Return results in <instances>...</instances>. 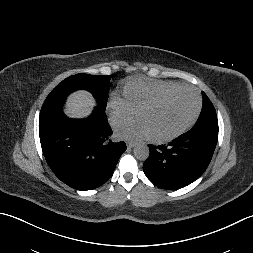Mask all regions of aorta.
<instances>
[{"label": "aorta", "mask_w": 253, "mask_h": 253, "mask_svg": "<svg viewBox=\"0 0 253 253\" xmlns=\"http://www.w3.org/2000/svg\"><path fill=\"white\" fill-rule=\"evenodd\" d=\"M133 152L134 156L141 161H144L149 157V148L145 143L136 144Z\"/></svg>", "instance_id": "1"}]
</instances>
